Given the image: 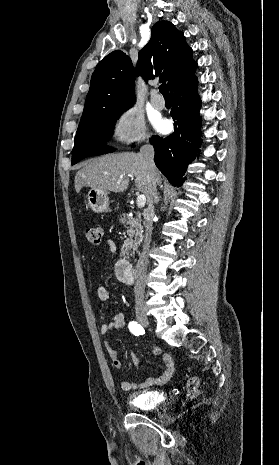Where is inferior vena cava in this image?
<instances>
[{"label": "inferior vena cava", "mask_w": 279, "mask_h": 465, "mask_svg": "<svg viewBox=\"0 0 279 465\" xmlns=\"http://www.w3.org/2000/svg\"><path fill=\"white\" fill-rule=\"evenodd\" d=\"M154 154H155L154 148L149 144L143 145L140 148L139 155L143 159L144 166L148 172L149 194L147 196L148 207L144 214L145 236H144L143 250L139 256V260L135 268L136 283L134 286V294H135V301L137 303H141L144 300V287H145L144 278L146 275V269H147V263H148L147 251L149 249V245L151 242L152 230H153V222H152L153 217H154L153 203L155 200L157 184H158L157 168L154 163Z\"/></svg>", "instance_id": "inferior-vena-cava-1"}]
</instances>
